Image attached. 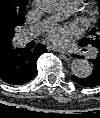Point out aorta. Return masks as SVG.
Instances as JSON below:
<instances>
[{
    "label": "aorta",
    "mask_w": 100,
    "mask_h": 118,
    "mask_svg": "<svg viewBox=\"0 0 100 118\" xmlns=\"http://www.w3.org/2000/svg\"><path fill=\"white\" fill-rule=\"evenodd\" d=\"M38 8L45 13H55L60 9V0H36ZM72 73L79 78L90 75L92 68L84 59H75L71 63Z\"/></svg>",
    "instance_id": "762f6f07"
}]
</instances>
